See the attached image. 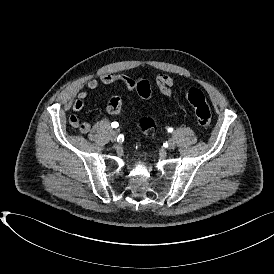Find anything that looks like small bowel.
Returning <instances> with one entry per match:
<instances>
[{"label":"small bowel","mask_w":274,"mask_h":274,"mask_svg":"<svg viewBox=\"0 0 274 274\" xmlns=\"http://www.w3.org/2000/svg\"><path fill=\"white\" fill-rule=\"evenodd\" d=\"M133 79L123 74L106 73L100 75L98 78H90L86 83V89L80 90L77 94L76 100L72 104V109L79 112L83 109L86 100L88 99V90H96L103 85L124 84L129 91L134 90ZM155 83L160 93L167 98H172L173 89L175 87V80L171 74H159ZM73 117V121L70 118ZM69 122L71 126L80 130L81 133L87 134L91 130V124L87 121H81L77 116H71Z\"/></svg>","instance_id":"obj_1"}]
</instances>
